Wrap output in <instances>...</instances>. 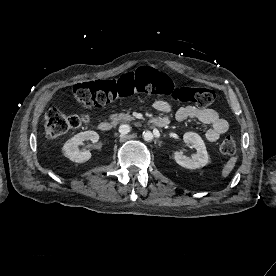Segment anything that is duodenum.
<instances>
[{
  "mask_svg": "<svg viewBox=\"0 0 276 276\" xmlns=\"http://www.w3.org/2000/svg\"><path fill=\"white\" fill-rule=\"evenodd\" d=\"M168 124H169V121L161 117H156L151 120V125L159 128L166 127ZM98 128L102 132H109L112 128V124L108 121H101L98 124Z\"/></svg>",
  "mask_w": 276,
  "mask_h": 276,
  "instance_id": "duodenum-1",
  "label": "duodenum"
}]
</instances>
